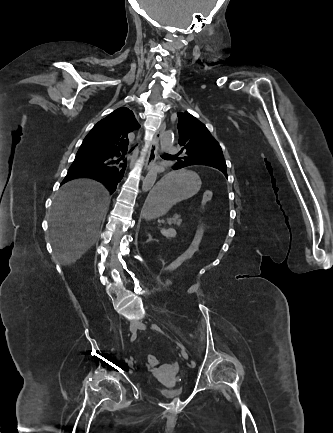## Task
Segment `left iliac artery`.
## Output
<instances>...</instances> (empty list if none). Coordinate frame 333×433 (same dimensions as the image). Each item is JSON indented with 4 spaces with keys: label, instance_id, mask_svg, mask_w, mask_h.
I'll use <instances>...</instances> for the list:
<instances>
[{
    "label": "left iliac artery",
    "instance_id": "left-iliac-artery-1",
    "mask_svg": "<svg viewBox=\"0 0 333 433\" xmlns=\"http://www.w3.org/2000/svg\"><path fill=\"white\" fill-rule=\"evenodd\" d=\"M151 326H152V329L164 334V332L161 330V328L158 325L152 324ZM177 344L182 350H185V347L181 343L177 342Z\"/></svg>",
    "mask_w": 333,
    "mask_h": 433
}]
</instances>
